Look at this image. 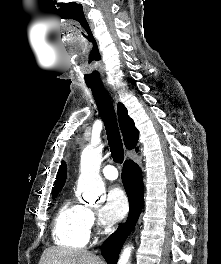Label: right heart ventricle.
<instances>
[{"mask_svg":"<svg viewBox=\"0 0 221 264\" xmlns=\"http://www.w3.org/2000/svg\"><path fill=\"white\" fill-rule=\"evenodd\" d=\"M90 229L87 208L71 198L65 199L53 222L54 242L63 247L83 248L89 242Z\"/></svg>","mask_w":221,"mask_h":264,"instance_id":"1","label":"right heart ventricle"}]
</instances>
